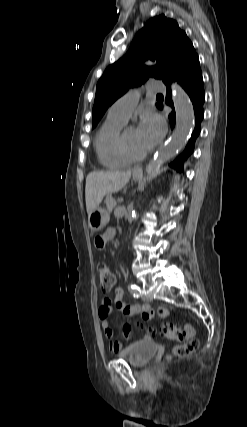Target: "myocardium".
I'll return each instance as SVG.
<instances>
[{"instance_id":"f54148a6","label":"myocardium","mask_w":247,"mask_h":427,"mask_svg":"<svg viewBox=\"0 0 247 427\" xmlns=\"http://www.w3.org/2000/svg\"><path fill=\"white\" fill-rule=\"evenodd\" d=\"M128 128L129 127L122 128V130L119 134L118 148H119L120 154L128 162L141 161L148 156L149 150H146V151L139 153V154H135L129 149L128 144H127V140H126V131Z\"/></svg>"}]
</instances>
